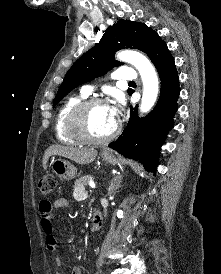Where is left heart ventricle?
<instances>
[{"label": "left heart ventricle", "mask_w": 221, "mask_h": 274, "mask_svg": "<svg viewBox=\"0 0 221 274\" xmlns=\"http://www.w3.org/2000/svg\"><path fill=\"white\" fill-rule=\"evenodd\" d=\"M116 120L110 113L108 105L93 107L86 118V128L95 137L107 135L114 127Z\"/></svg>", "instance_id": "b2bd125f"}]
</instances>
